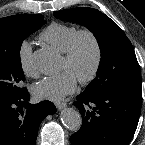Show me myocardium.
I'll return each mask as SVG.
<instances>
[{
  "mask_svg": "<svg viewBox=\"0 0 145 145\" xmlns=\"http://www.w3.org/2000/svg\"><path fill=\"white\" fill-rule=\"evenodd\" d=\"M83 38H87L91 42L94 50V61L91 70L87 75L78 79L81 84H88L97 77L103 60V50L100 40L92 30L81 29L75 33L67 50L63 53V60L66 63H71L75 59L79 43Z\"/></svg>",
  "mask_w": 145,
  "mask_h": 145,
  "instance_id": "obj_1",
  "label": "myocardium"
}]
</instances>
